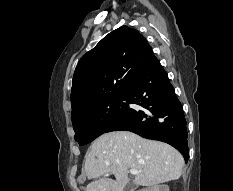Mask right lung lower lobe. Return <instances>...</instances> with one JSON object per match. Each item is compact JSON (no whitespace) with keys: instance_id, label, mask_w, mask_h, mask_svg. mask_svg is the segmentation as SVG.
Instances as JSON below:
<instances>
[{"instance_id":"right-lung-lower-lobe-1","label":"right lung lower lobe","mask_w":233,"mask_h":191,"mask_svg":"<svg viewBox=\"0 0 233 191\" xmlns=\"http://www.w3.org/2000/svg\"><path fill=\"white\" fill-rule=\"evenodd\" d=\"M128 104L143 110L128 109L104 133L131 131L144 138L166 142L175 147L187 162L189 150L183 108L168 75L153 55L138 80L127 92Z\"/></svg>"}]
</instances>
